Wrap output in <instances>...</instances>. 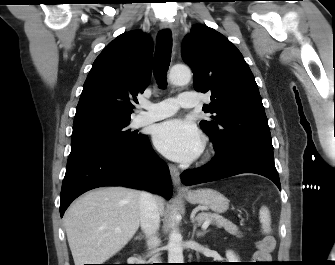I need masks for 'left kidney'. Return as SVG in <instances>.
<instances>
[{"instance_id": "left-kidney-1", "label": "left kidney", "mask_w": 335, "mask_h": 265, "mask_svg": "<svg viewBox=\"0 0 335 265\" xmlns=\"http://www.w3.org/2000/svg\"><path fill=\"white\" fill-rule=\"evenodd\" d=\"M228 262H238V257L232 251L226 252Z\"/></svg>"}]
</instances>
